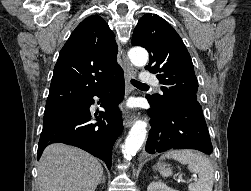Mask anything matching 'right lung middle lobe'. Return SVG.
<instances>
[{"mask_svg":"<svg viewBox=\"0 0 251 191\" xmlns=\"http://www.w3.org/2000/svg\"><path fill=\"white\" fill-rule=\"evenodd\" d=\"M77 104H78V103H77ZM77 104H72V105H68V106H65V107L57 108V109L45 110V111H44V116L49 115V114H52V113H55V112H58V111H61V110H65V109H68V108H71V107H74V106H76Z\"/></svg>","mask_w":251,"mask_h":191,"instance_id":"1","label":"right lung middle lobe"}]
</instances>
